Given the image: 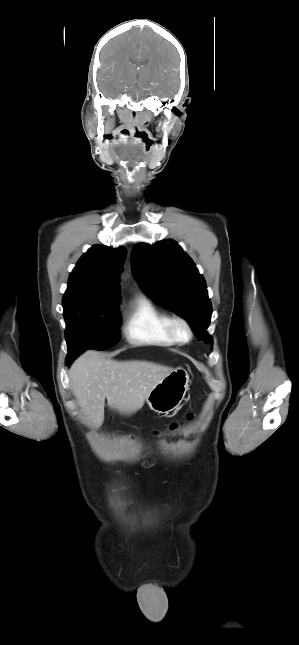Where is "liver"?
<instances>
[{"label": "liver", "instance_id": "obj_1", "mask_svg": "<svg viewBox=\"0 0 299 645\" xmlns=\"http://www.w3.org/2000/svg\"><path fill=\"white\" fill-rule=\"evenodd\" d=\"M172 368L147 361L105 359L96 350L78 357L69 369L73 393L88 426L98 429L104 422L105 399L111 409L134 414Z\"/></svg>", "mask_w": 299, "mask_h": 645}]
</instances>
